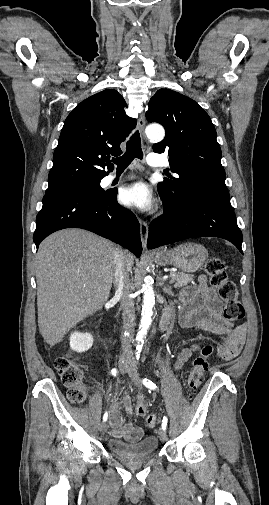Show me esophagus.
<instances>
[{"label":"esophagus","instance_id":"34e87169","mask_svg":"<svg viewBox=\"0 0 269 505\" xmlns=\"http://www.w3.org/2000/svg\"><path fill=\"white\" fill-rule=\"evenodd\" d=\"M144 128H145V116L141 114L138 118V129L141 134L144 136ZM140 224V236L141 242L144 250H147V239H148V224L146 221L139 219Z\"/></svg>","mask_w":269,"mask_h":505}]
</instances>
